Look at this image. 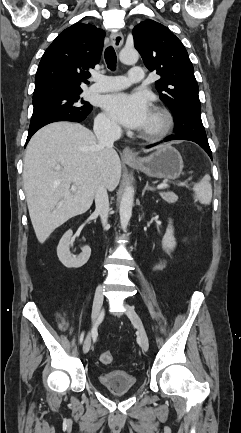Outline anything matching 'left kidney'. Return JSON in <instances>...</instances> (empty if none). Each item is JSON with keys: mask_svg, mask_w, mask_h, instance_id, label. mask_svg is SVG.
Masks as SVG:
<instances>
[{"mask_svg": "<svg viewBox=\"0 0 241 433\" xmlns=\"http://www.w3.org/2000/svg\"><path fill=\"white\" fill-rule=\"evenodd\" d=\"M175 247H176V240L174 237V229L172 226V221L169 220V225H168L166 233L162 239V248L166 252H170V251L174 250Z\"/></svg>", "mask_w": 241, "mask_h": 433, "instance_id": "obj_1", "label": "left kidney"}]
</instances>
